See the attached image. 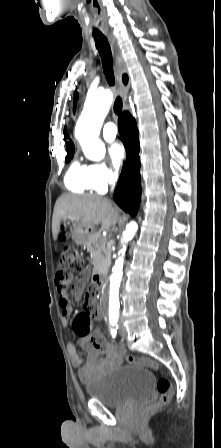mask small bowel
Here are the masks:
<instances>
[{"instance_id":"c3829d8e","label":"small bowel","mask_w":221,"mask_h":448,"mask_svg":"<svg viewBox=\"0 0 221 448\" xmlns=\"http://www.w3.org/2000/svg\"><path fill=\"white\" fill-rule=\"evenodd\" d=\"M87 276L82 273L72 282V294L75 299H80L85 288ZM59 305L62 311V323L67 325L72 316V306L68 294L63 289H58ZM100 316L96 305L90 304L87 299L85 302V311L78 314L73 320V329L80 336L78 345L82 347L86 354V360H83L78 352L77 345L68 343L67 349L73 365L78 368V376L82 382L87 383L96 375L123 362L125 351L121 346L111 344L101 333L99 329L94 331L91 337L87 327L92 318ZM103 354V357L100 355Z\"/></svg>"}]
</instances>
